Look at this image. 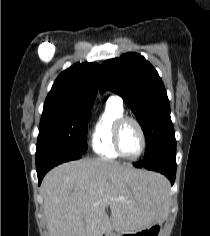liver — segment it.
<instances>
[{"mask_svg": "<svg viewBox=\"0 0 210 236\" xmlns=\"http://www.w3.org/2000/svg\"><path fill=\"white\" fill-rule=\"evenodd\" d=\"M167 188L164 176L115 161L63 163L47 173L41 185L49 236L140 230L159 216Z\"/></svg>", "mask_w": 210, "mask_h": 236, "instance_id": "6515ba94", "label": "liver"}]
</instances>
